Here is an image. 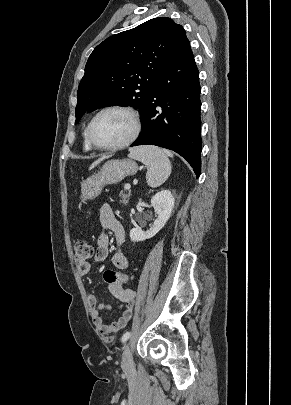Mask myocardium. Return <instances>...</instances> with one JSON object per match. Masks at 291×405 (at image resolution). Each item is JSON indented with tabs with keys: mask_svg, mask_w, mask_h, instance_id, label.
<instances>
[{
	"mask_svg": "<svg viewBox=\"0 0 291 405\" xmlns=\"http://www.w3.org/2000/svg\"><path fill=\"white\" fill-rule=\"evenodd\" d=\"M110 111H120V112H124L126 114H128L133 122V131L131 133V135L124 140L121 143L115 144V145H110V146H104V145H100L98 143H96V141L93 138L92 135V130H93V125L95 123V121L98 119L99 116H101L102 114L106 113V112H110ZM141 117L139 112L134 109L133 107L130 106H126V105H120V104H115V105H109L106 107H103L102 109H100L89 121L87 127H86V136H87V140L89 145L96 150H100V151H117V150H121L124 149L126 147H128L129 145H131L139 136L140 132H141Z\"/></svg>",
	"mask_w": 291,
	"mask_h": 405,
	"instance_id": "obj_1",
	"label": "myocardium"
}]
</instances>
